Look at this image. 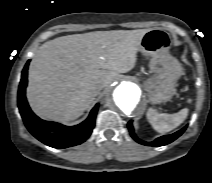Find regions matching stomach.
Segmentation results:
<instances>
[{"mask_svg":"<svg viewBox=\"0 0 212 183\" xmlns=\"http://www.w3.org/2000/svg\"><path fill=\"white\" fill-rule=\"evenodd\" d=\"M171 37L163 29H150L141 39L139 52L150 59L154 73L146 80L149 101L158 104L170 100L175 94V84L183 73L182 66L169 54Z\"/></svg>","mask_w":212,"mask_h":183,"instance_id":"obj_1","label":"stomach"}]
</instances>
